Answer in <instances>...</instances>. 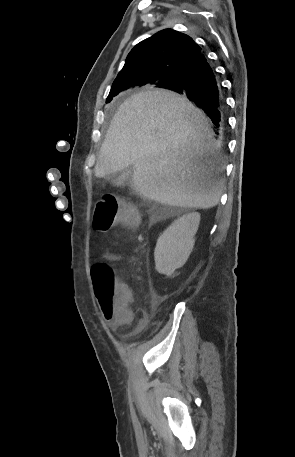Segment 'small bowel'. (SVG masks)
I'll return each instance as SVG.
<instances>
[{"label":"small bowel","mask_w":295,"mask_h":457,"mask_svg":"<svg viewBox=\"0 0 295 457\" xmlns=\"http://www.w3.org/2000/svg\"><path fill=\"white\" fill-rule=\"evenodd\" d=\"M116 257H117V256H116L115 254H107V255H106V258L109 259V260H113V259H115ZM129 319H130V313L128 314V319H126V320H119V319H117V318H108V319H106V320L109 322V324L111 325V327L117 328V327H119L120 325L126 323Z\"/></svg>","instance_id":"c3829d8e"}]
</instances>
